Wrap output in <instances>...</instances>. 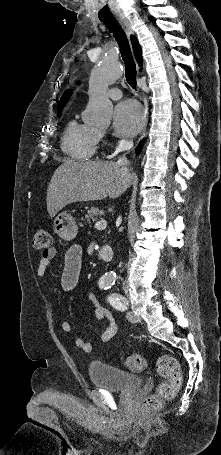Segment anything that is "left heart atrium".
Returning a JSON list of instances; mask_svg holds the SVG:
<instances>
[{
  "label": "left heart atrium",
  "instance_id": "obj_1",
  "mask_svg": "<svg viewBox=\"0 0 221 455\" xmlns=\"http://www.w3.org/2000/svg\"><path fill=\"white\" fill-rule=\"evenodd\" d=\"M144 115L133 101H124L114 109L113 128L115 133L121 137H132L142 128Z\"/></svg>",
  "mask_w": 221,
  "mask_h": 455
}]
</instances>
